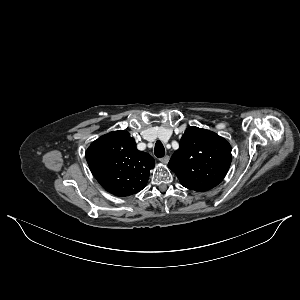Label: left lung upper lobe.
I'll return each mask as SVG.
<instances>
[{"label": "left lung upper lobe", "mask_w": 300, "mask_h": 300, "mask_svg": "<svg viewBox=\"0 0 300 300\" xmlns=\"http://www.w3.org/2000/svg\"><path fill=\"white\" fill-rule=\"evenodd\" d=\"M230 164L231 146L223 137L206 129L189 127L168 167L184 187L202 192L217 186Z\"/></svg>", "instance_id": "5c2ea615"}]
</instances>
